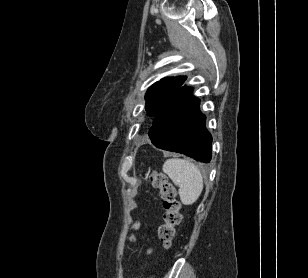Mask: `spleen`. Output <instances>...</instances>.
Wrapping results in <instances>:
<instances>
[{
  "label": "spleen",
  "instance_id": "1",
  "mask_svg": "<svg viewBox=\"0 0 308 278\" xmlns=\"http://www.w3.org/2000/svg\"><path fill=\"white\" fill-rule=\"evenodd\" d=\"M163 172L179 187V196L184 205H192L203 190V177L199 168L186 159L170 158L163 164Z\"/></svg>",
  "mask_w": 308,
  "mask_h": 278
}]
</instances>
